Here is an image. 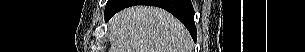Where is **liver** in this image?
Here are the masks:
<instances>
[{
	"label": "liver",
	"instance_id": "6515ba94",
	"mask_svg": "<svg viewBox=\"0 0 305 52\" xmlns=\"http://www.w3.org/2000/svg\"><path fill=\"white\" fill-rule=\"evenodd\" d=\"M109 52H192L184 25L167 11L133 6L109 22Z\"/></svg>",
	"mask_w": 305,
	"mask_h": 52
}]
</instances>
